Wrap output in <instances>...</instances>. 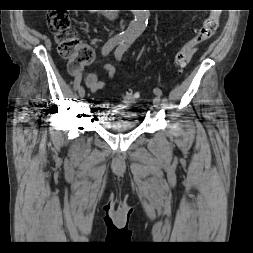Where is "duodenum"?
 <instances>
[{
  "label": "duodenum",
  "mask_w": 253,
  "mask_h": 253,
  "mask_svg": "<svg viewBox=\"0 0 253 253\" xmlns=\"http://www.w3.org/2000/svg\"><path fill=\"white\" fill-rule=\"evenodd\" d=\"M107 12L110 14L111 17H116L117 16V12L116 11L110 10V11H107Z\"/></svg>",
  "instance_id": "duodenum-1"
}]
</instances>
